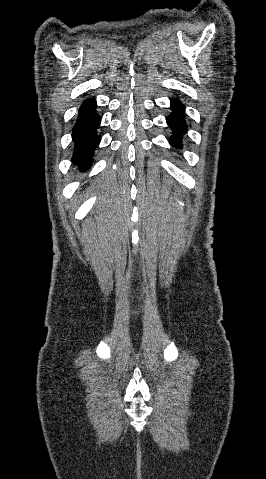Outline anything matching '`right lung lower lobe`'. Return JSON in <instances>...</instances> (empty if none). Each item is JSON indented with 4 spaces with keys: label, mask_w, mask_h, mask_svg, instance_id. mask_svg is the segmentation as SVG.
I'll return each mask as SVG.
<instances>
[{
    "label": "right lung lower lobe",
    "mask_w": 266,
    "mask_h": 479,
    "mask_svg": "<svg viewBox=\"0 0 266 479\" xmlns=\"http://www.w3.org/2000/svg\"><path fill=\"white\" fill-rule=\"evenodd\" d=\"M95 109V99H86L79 108V115L72 130L74 144L72 162L82 172L91 166L95 149L100 142L97 128L100 125L101 118Z\"/></svg>",
    "instance_id": "1"
}]
</instances>
